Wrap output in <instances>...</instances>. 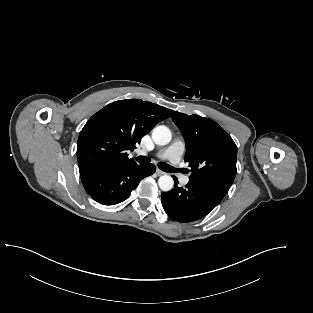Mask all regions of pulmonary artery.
Segmentation results:
<instances>
[{
	"mask_svg": "<svg viewBox=\"0 0 313 313\" xmlns=\"http://www.w3.org/2000/svg\"><path fill=\"white\" fill-rule=\"evenodd\" d=\"M185 150V145L183 143V141L177 139V140H174L171 145H169L167 148L161 150L160 152H158L156 154V156L160 159H167L169 160L172 165H177L180 160H181V157L183 155V152ZM140 154H143V152H139ZM180 182L183 184V185H186L188 184L189 182V177L188 176H185V175H180Z\"/></svg>",
	"mask_w": 313,
	"mask_h": 313,
	"instance_id": "pulmonary-artery-1",
	"label": "pulmonary artery"
}]
</instances>
